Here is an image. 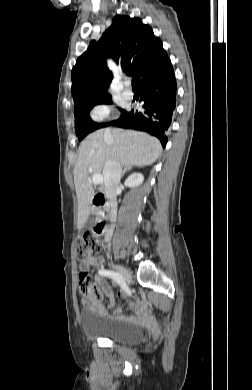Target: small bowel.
<instances>
[{
	"label": "small bowel",
	"instance_id": "small-bowel-1",
	"mask_svg": "<svg viewBox=\"0 0 252 390\" xmlns=\"http://www.w3.org/2000/svg\"><path fill=\"white\" fill-rule=\"evenodd\" d=\"M102 261L99 258L93 257L83 263L80 264V268L83 271H88L92 266L101 267ZM101 270V269H100ZM94 284L97 290H102L105 295L110 299V302L106 305L101 304L100 302V293L99 294V300L96 304L97 309L99 312L108 318L118 320V321H135V322H141L146 323L151 320L150 314L148 310L140 305L133 302H129L128 306L133 311V314L126 315L122 313L121 308H118L117 310L111 312L110 309L112 308L114 301V293L111 288V286L107 283L104 276L98 274L94 278ZM120 297L125 298L127 297V293L125 290H121L119 293Z\"/></svg>",
	"mask_w": 252,
	"mask_h": 390
}]
</instances>
